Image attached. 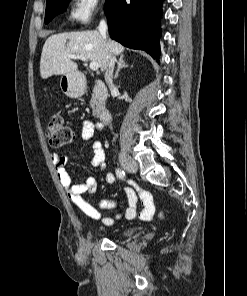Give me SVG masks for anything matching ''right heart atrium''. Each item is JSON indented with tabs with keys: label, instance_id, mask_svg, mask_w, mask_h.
I'll use <instances>...</instances> for the list:
<instances>
[{
	"label": "right heart atrium",
	"instance_id": "1",
	"mask_svg": "<svg viewBox=\"0 0 247 296\" xmlns=\"http://www.w3.org/2000/svg\"><path fill=\"white\" fill-rule=\"evenodd\" d=\"M102 0H72V5L69 11L70 20L88 24L101 10Z\"/></svg>",
	"mask_w": 247,
	"mask_h": 296
}]
</instances>
